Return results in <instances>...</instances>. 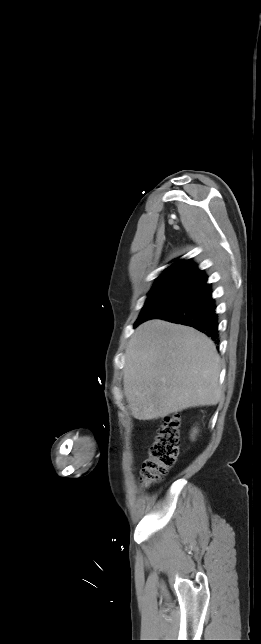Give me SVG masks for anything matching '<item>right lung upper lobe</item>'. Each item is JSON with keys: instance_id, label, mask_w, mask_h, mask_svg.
I'll use <instances>...</instances> for the list:
<instances>
[{"instance_id": "right-lung-upper-lobe-1", "label": "right lung upper lobe", "mask_w": 261, "mask_h": 644, "mask_svg": "<svg viewBox=\"0 0 261 644\" xmlns=\"http://www.w3.org/2000/svg\"><path fill=\"white\" fill-rule=\"evenodd\" d=\"M180 280L188 281L203 285L207 281V276L203 271L197 269V266L190 260L178 261L167 268L158 278L157 282Z\"/></svg>"}]
</instances>
